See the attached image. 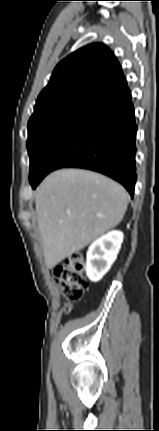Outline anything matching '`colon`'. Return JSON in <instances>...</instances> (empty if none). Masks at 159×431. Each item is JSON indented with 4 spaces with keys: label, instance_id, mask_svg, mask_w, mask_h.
<instances>
[{
    "label": "colon",
    "instance_id": "colon-1",
    "mask_svg": "<svg viewBox=\"0 0 159 431\" xmlns=\"http://www.w3.org/2000/svg\"><path fill=\"white\" fill-rule=\"evenodd\" d=\"M55 280L60 284L68 301L65 311L71 309V302L79 301L86 289L88 280L85 276V263L81 253H73L62 260L54 270Z\"/></svg>",
    "mask_w": 159,
    "mask_h": 431
}]
</instances>
